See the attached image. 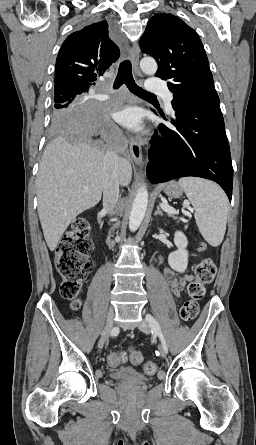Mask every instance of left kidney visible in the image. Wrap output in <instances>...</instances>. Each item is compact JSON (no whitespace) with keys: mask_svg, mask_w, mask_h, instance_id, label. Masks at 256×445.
Instances as JSON below:
<instances>
[{"mask_svg":"<svg viewBox=\"0 0 256 445\" xmlns=\"http://www.w3.org/2000/svg\"><path fill=\"white\" fill-rule=\"evenodd\" d=\"M174 243L177 250L169 254L168 264L173 270L182 273L188 266V251L186 250L188 244L187 237L183 232L176 231Z\"/></svg>","mask_w":256,"mask_h":445,"instance_id":"1","label":"left kidney"}]
</instances>
